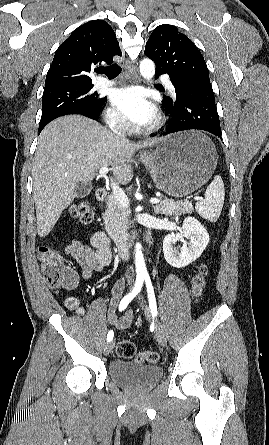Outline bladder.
<instances>
[{
  "mask_svg": "<svg viewBox=\"0 0 269 445\" xmlns=\"http://www.w3.org/2000/svg\"><path fill=\"white\" fill-rule=\"evenodd\" d=\"M113 382L129 389H145L157 383L162 369L157 365H140L121 359L113 360L108 367Z\"/></svg>",
  "mask_w": 269,
  "mask_h": 445,
  "instance_id": "31cf9c89",
  "label": "bladder"
}]
</instances>
